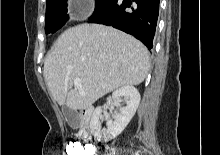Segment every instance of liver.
Instances as JSON below:
<instances>
[{"mask_svg":"<svg viewBox=\"0 0 220 155\" xmlns=\"http://www.w3.org/2000/svg\"><path fill=\"white\" fill-rule=\"evenodd\" d=\"M149 67V52L134 37L104 25L81 24L59 36L45 59L44 78L52 98L76 111L120 87L139 85ZM75 78L85 95L72 89Z\"/></svg>","mask_w":220,"mask_h":155,"instance_id":"6515ba94","label":"liver"}]
</instances>
